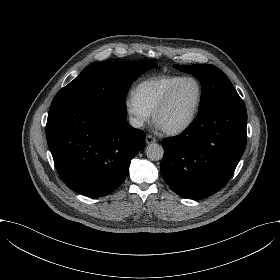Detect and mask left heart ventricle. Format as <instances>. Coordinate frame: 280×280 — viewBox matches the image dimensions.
I'll return each mask as SVG.
<instances>
[{"mask_svg": "<svg viewBox=\"0 0 280 280\" xmlns=\"http://www.w3.org/2000/svg\"><path fill=\"white\" fill-rule=\"evenodd\" d=\"M199 95V86L195 81L184 82L175 93L169 107L160 114L158 123L163 128H170L187 121L196 109Z\"/></svg>", "mask_w": 280, "mask_h": 280, "instance_id": "b2bd125f", "label": "left heart ventricle"}]
</instances>
